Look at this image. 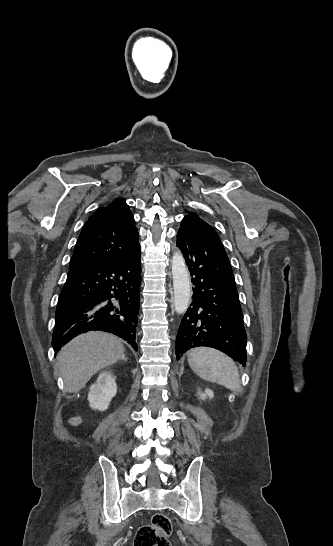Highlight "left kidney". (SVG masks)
<instances>
[{
    "mask_svg": "<svg viewBox=\"0 0 333 546\" xmlns=\"http://www.w3.org/2000/svg\"><path fill=\"white\" fill-rule=\"evenodd\" d=\"M201 399H205L206 397H213V392L209 389L205 390L204 393H199Z\"/></svg>",
    "mask_w": 333,
    "mask_h": 546,
    "instance_id": "left-kidney-1",
    "label": "left kidney"
}]
</instances>
